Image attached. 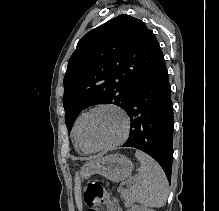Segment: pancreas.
<instances>
[{"mask_svg": "<svg viewBox=\"0 0 219 211\" xmlns=\"http://www.w3.org/2000/svg\"><path fill=\"white\" fill-rule=\"evenodd\" d=\"M122 195L125 199L126 205H131V203H133V199H132V195L130 191H127V189H124V191H122Z\"/></svg>", "mask_w": 219, "mask_h": 211, "instance_id": "pancreas-1", "label": "pancreas"}]
</instances>
